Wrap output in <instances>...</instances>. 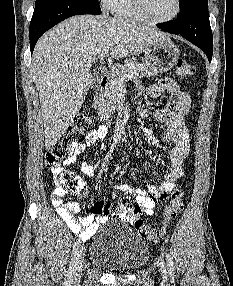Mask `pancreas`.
<instances>
[{"mask_svg": "<svg viewBox=\"0 0 233 286\" xmlns=\"http://www.w3.org/2000/svg\"><path fill=\"white\" fill-rule=\"evenodd\" d=\"M126 74L130 75L129 79H138L156 76L157 72L151 70L145 64L134 61H127L125 65L118 67L111 73L109 85L95 99L94 107L101 118L108 119L114 114L119 90L128 80L122 78Z\"/></svg>", "mask_w": 233, "mask_h": 286, "instance_id": "cf45deb5", "label": "pancreas"}]
</instances>
